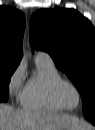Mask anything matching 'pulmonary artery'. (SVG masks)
I'll return each mask as SVG.
<instances>
[{
	"instance_id": "obj_1",
	"label": "pulmonary artery",
	"mask_w": 95,
	"mask_h": 130,
	"mask_svg": "<svg viewBox=\"0 0 95 130\" xmlns=\"http://www.w3.org/2000/svg\"><path fill=\"white\" fill-rule=\"evenodd\" d=\"M35 60H47V61H52L51 57L45 53V52H37L35 55Z\"/></svg>"
}]
</instances>
